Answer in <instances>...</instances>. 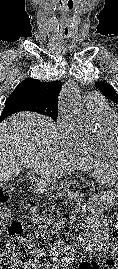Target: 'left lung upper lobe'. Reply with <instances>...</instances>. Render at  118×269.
<instances>
[{
	"instance_id": "5c2ea615",
	"label": "left lung upper lobe",
	"mask_w": 118,
	"mask_h": 269,
	"mask_svg": "<svg viewBox=\"0 0 118 269\" xmlns=\"http://www.w3.org/2000/svg\"><path fill=\"white\" fill-rule=\"evenodd\" d=\"M97 86L100 89V91H102L105 97L109 98L110 100L118 104V94L110 84L105 82H98Z\"/></svg>"
}]
</instances>
